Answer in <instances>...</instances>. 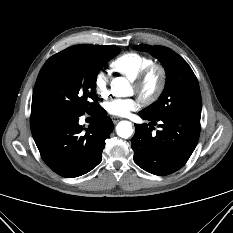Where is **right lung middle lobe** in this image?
<instances>
[{
	"label": "right lung middle lobe",
	"mask_w": 233,
	"mask_h": 233,
	"mask_svg": "<svg viewBox=\"0 0 233 233\" xmlns=\"http://www.w3.org/2000/svg\"><path fill=\"white\" fill-rule=\"evenodd\" d=\"M118 54L117 46L93 45L69 47L50 57L35 83L31 118L92 110L98 104L97 75Z\"/></svg>",
	"instance_id": "right-lung-middle-lobe-1"
}]
</instances>
